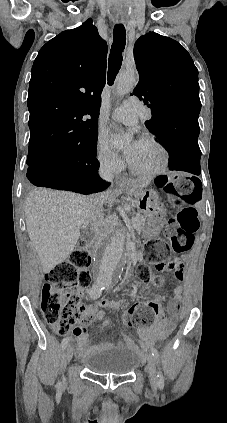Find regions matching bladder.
I'll list each match as a JSON object with an SVG mask.
<instances>
[{"instance_id":"bladder-1","label":"bladder","mask_w":227,"mask_h":423,"mask_svg":"<svg viewBox=\"0 0 227 423\" xmlns=\"http://www.w3.org/2000/svg\"><path fill=\"white\" fill-rule=\"evenodd\" d=\"M85 368L101 376H127L139 364V357L132 347L110 345L101 347L82 360Z\"/></svg>"}]
</instances>
